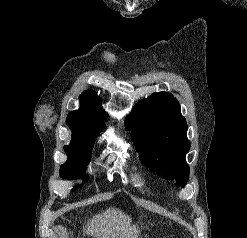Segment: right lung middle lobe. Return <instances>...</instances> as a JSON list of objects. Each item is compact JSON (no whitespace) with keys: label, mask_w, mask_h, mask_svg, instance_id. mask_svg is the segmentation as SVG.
<instances>
[{"label":"right lung middle lobe","mask_w":247,"mask_h":238,"mask_svg":"<svg viewBox=\"0 0 247 238\" xmlns=\"http://www.w3.org/2000/svg\"><path fill=\"white\" fill-rule=\"evenodd\" d=\"M91 147L92 146L78 143L66 145L64 150L68 159L66 163L61 166L60 175L68 179H76L83 175L84 169L90 161ZM84 180H86V177ZM76 188H78V186L74 187V189Z\"/></svg>","instance_id":"right-lung-middle-lobe-1"}]
</instances>
